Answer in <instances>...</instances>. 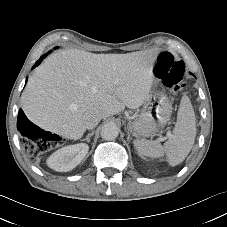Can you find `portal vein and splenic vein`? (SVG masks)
Here are the masks:
<instances>
[{
    "label": "portal vein and splenic vein",
    "mask_w": 227,
    "mask_h": 227,
    "mask_svg": "<svg viewBox=\"0 0 227 227\" xmlns=\"http://www.w3.org/2000/svg\"><path fill=\"white\" fill-rule=\"evenodd\" d=\"M167 135H168V136H171V133H170V132H168V133H167Z\"/></svg>",
    "instance_id": "1"
}]
</instances>
